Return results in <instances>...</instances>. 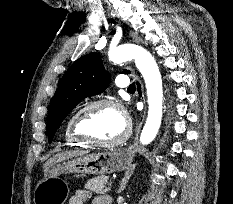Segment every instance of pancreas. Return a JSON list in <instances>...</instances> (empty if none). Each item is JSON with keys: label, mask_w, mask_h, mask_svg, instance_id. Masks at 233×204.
<instances>
[{"label": "pancreas", "mask_w": 233, "mask_h": 204, "mask_svg": "<svg viewBox=\"0 0 233 204\" xmlns=\"http://www.w3.org/2000/svg\"><path fill=\"white\" fill-rule=\"evenodd\" d=\"M108 181L107 176H97L87 181L85 184V189L89 190L90 192H94L97 194L104 193L103 185L106 184Z\"/></svg>", "instance_id": "obj_1"}]
</instances>
